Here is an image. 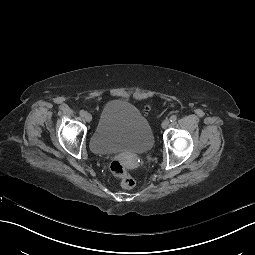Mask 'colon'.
<instances>
[{"label":"colon","instance_id":"5ec220e1","mask_svg":"<svg viewBox=\"0 0 255 255\" xmlns=\"http://www.w3.org/2000/svg\"><path fill=\"white\" fill-rule=\"evenodd\" d=\"M112 173L119 179L120 185L124 189H131L135 186L136 181L127 171L126 166L121 160H113L110 164Z\"/></svg>","mask_w":255,"mask_h":255}]
</instances>
